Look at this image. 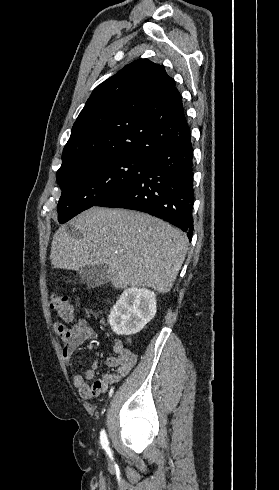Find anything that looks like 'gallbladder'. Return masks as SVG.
Segmentation results:
<instances>
[{"instance_id": "gallbladder-1", "label": "gallbladder", "mask_w": 279, "mask_h": 490, "mask_svg": "<svg viewBox=\"0 0 279 490\" xmlns=\"http://www.w3.org/2000/svg\"><path fill=\"white\" fill-rule=\"evenodd\" d=\"M79 276L89 288H100L109 280L105 266H87L79 270Z\"/></svg>"}]
</instances>
